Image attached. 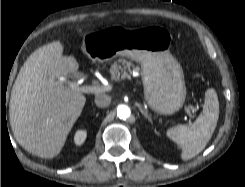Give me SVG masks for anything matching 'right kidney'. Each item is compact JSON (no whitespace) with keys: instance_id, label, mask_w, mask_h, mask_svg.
Listing matches in <instances>:
<instances>
[{"instance_id":"1","label":"right kidney","mask_w":245,"mask_h":187,"mask_svg":"<svg viewBox=\"0 0 245 187\" xmlns=\"http://www.w3.org/2000/svg\"><path fill=\"white\" fill-rule=\"evenodd\" d=\"M86 131L85 130H78L74 135V142L76 145H82L86 139Z\"/></svg>"}]
</instances>
